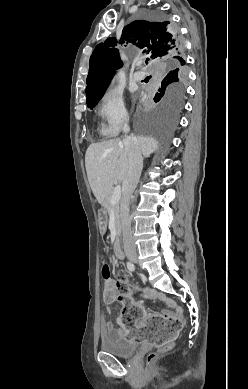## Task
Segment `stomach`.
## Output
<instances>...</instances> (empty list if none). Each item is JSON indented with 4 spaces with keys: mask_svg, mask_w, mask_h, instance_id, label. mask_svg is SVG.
Here are the masks:
<instances>
[{
    "mask_svg": "<svg viewBox=\"0 0 248 389\" xmlns=\"http://www.w3.org/2000/svg\"><path fill=\"white\" fill-rule=\"evenodd\" d=\"M99 221H100V229H99V234L100 235H105L107 231V220L110 219V214L106 213V208L105 207H100L99 208Z\"/></svg>",
    "mask_w": 248,
    "mask_h": 389,
    "instance_id": "1",
    "label": "stomach"
}]
</instances>
